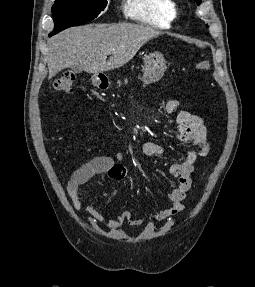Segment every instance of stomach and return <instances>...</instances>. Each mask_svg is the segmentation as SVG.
<instances>
[{
  "mask_svg": "<svg viewBox=\"0 0 255 287\" xmlns=\"http://www.w3.org/2000/svg\"><path fill=\"white\" fill-rule=\"evenodd\" d=\"M144 60L145 66L142 82H144V84H154V82L161 80L166 70V62L163 58V54H160V52H153L150 56H146ZM92 84L93 86H98L97 76H92Z\"/></svg>",
  "mask_w": 255,
  "mask_h": 287,
  "instance_id": "0dacf381",
  "label": "stomach"
}]
</instances>
